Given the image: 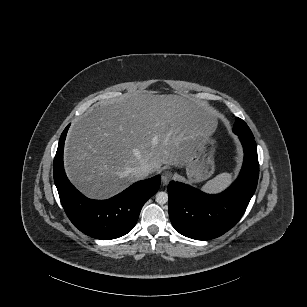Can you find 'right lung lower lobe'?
I'll use <instances>...</instances> for the list:
<instances>
[{
  "instance_id": "right-lung-lower-lobe-1",
  "label": "right lung lower lobe",
  "mask_w": 307,
  "mask_h": 307,
  "mask_svg": "<svg viewBox=\"0 0 307 307\" xmlns=\"http://www.w3.org/2000/svg\"><path fill=\"white\" fill-rule=\"evenodd\" d=\"M69 125L61 134L54 158V181L62 206L71 222L83 233L102 240L127 234L136 224L141 208L159 189L160 175L139 181L108 200L83 196L66 177L63 148Z\"/></svg>"
}]
</instances>
